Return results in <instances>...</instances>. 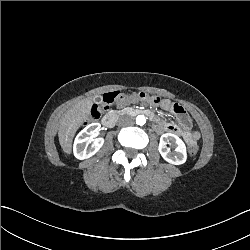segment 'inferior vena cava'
Listing matches in <instances>:
<instances>
[{
    "label": "inferior vena cava",
    "instance_id": "1",
    "mask_svg": "<svg viewBox=\"0 0 250 250\" xmlns=\"http://www.w3.org/2000/svg\"><path fill=\"white\" fill-rule=\"evenodd\" d=\"M133 122V118L130 115H122L117 119V124L119 126H127Z\"/></svg>",
    "mask_w": 250,
    "mask_h": 250
}]
</instances>
